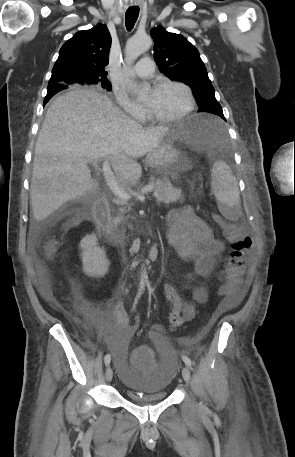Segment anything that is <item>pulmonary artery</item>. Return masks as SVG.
Here are the masks:
<instances>
[{
    "label": "pulmonary artery",
    "mask_w": 295,
    "mask_h": 457,
    "mask_svg": "<svg viewBox=\"0 0 295 457\" xmlns=\"http://www.w3.org/2000/svg\"><path fill=\"white\" fill-rule=\"evenodd\" d=\"M154 62L149 57L142 58L133 68V73L139 77H150L154 73Z\"/></svg>",
    "instance_id": "1"
}]
</instances>
